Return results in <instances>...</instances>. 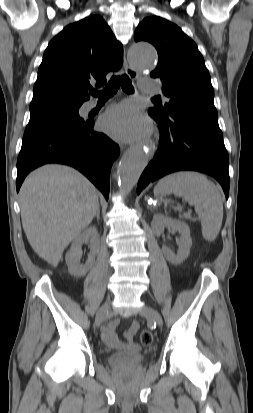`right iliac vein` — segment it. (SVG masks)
I'll list each match as a JSON object with an SVG mask.
<instances>
[{"label":"right iliac vein","mask_w":253,"mask_h":413,"mask_svg":"<svg viewBox=\"0 0 253 413\" xmlns=\"http://www.w3.org/2000/svg\"><path fill=\"white\" fill-rule=\"evenodd\" d=\"M110 312V304L106 302L98 311L96 316V322L101 323L109 314Z\"/></svg>","instance_id":"63e3f726"}]
</instances>
